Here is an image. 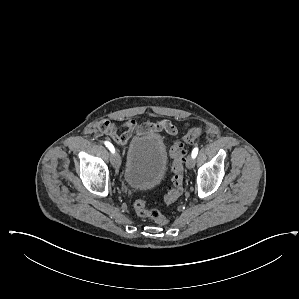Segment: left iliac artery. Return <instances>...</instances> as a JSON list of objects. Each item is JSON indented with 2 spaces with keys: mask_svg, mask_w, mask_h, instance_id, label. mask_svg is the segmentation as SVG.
I'll use <instances>...</instances> for the list:
<instances>
[{
  "mask_svg": "<svg viewBox=\"0 0 299 299\" xmlns=\"http://www.w3.org/2000/svg\"><path fill=\"white\" fill-rule=\"evenodd\" d=\"M197 154H198V147H195L193 150H192V157L193 158H196V156H197Z\"/></svg>",
  "mask_w": 299,
  "mask_h": 299,
  "instance_id": "left-iliac-artery-1",
  "label": "left iliac artery"
}]
</instances>
